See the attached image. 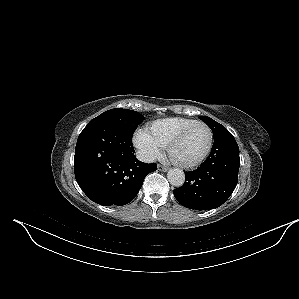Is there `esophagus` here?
Segmentation results:
<instances>
[{"mask_svg":"<svg viewBox=\"0 0 299 299\" xmlns=\"http://www.w3.org/2000/svg\"><path fill=\"white\" fill-rule=\"evenodd\" d=\"M158 170L162 171V172H166L168 170V168L165 166H162V165H158Z\"/></svg>","mask_w":299,"mask_h":299,"instance_id":"obj_1","label":"esophagus"}]
</instances>
